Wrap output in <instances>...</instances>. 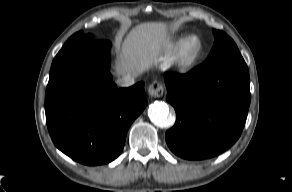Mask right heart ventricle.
Instances as JSON below:
<instances>
[{
  "instance_id": "e07e8e85",
  "label": "right heart ventricle",
  "mask_w": 292,
  "mask_h": 192,
  "mask_svg": "<svg viewBox=\"0 0 292 192\" xmlns=\"http://www.w3.org/2000/svg\"><path fill=\"white\" fill-rule=\"evenodd\" d=\"M181 38L180 37H174L169 39L166 42V49L168 50H173L176 48V46L178 45V43L180 42Z\"/></svg>"
}]
</instances>
